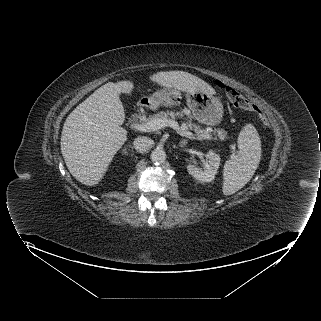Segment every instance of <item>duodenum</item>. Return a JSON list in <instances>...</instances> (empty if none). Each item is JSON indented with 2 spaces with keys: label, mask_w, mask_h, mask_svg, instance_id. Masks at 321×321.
I'll list each match as a JSON object with an SVG mask.
<instances>
[{
  "label": "duodenum",
  "mask_w": 321,
  "mask_h": 321,
  "mask_svg": "<svg viewBox=\"0 0 321 321\" xmlns=\"http://www.w3.org/2000/svg\"><path fill=\"white\" fill-rule=\"evenodd\" d=\"M148 104H149V101L147 99H142L139 101L138 107L143 108V107L147 106Z\"/></svg>",
  "instance_id": "obj_1"
}]
</instances>
